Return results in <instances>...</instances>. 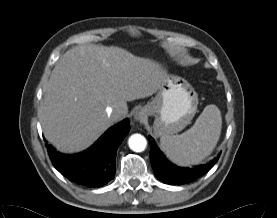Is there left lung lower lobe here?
Returning <instances> with one entry per match:
<instances>
[{
  "label": "left lung lower lobe",
  "mask_w": 277,
  "mask_h": 218,
  "mask_svg": "<svg viewBox=\"0 0 277 218\" xmlns=\"http://www.w3.org/2000/svg\"><path fill=\"white\" fill-rule=\"evenodd\" d=\"M149 139L151 145L150 160L153 171L155 176L164 183L180 185L192 182L207 173L218 161L219 156L205 165L193 168L176 167L165 158L150 136Z\"/></svg>",
  "instance_id": "left-lung-lower-lobe-1"
}]
</instances>
